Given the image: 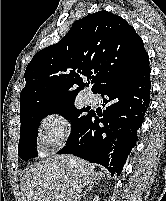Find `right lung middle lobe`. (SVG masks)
Wrapping results in <instances>:
<instances>
[{
    "mask_svg": "<svg viewBox=\"0 0 166 201\" xmlns=\"http://www.w3.org/2000/svg\"><path fill=\"white\" fill-rule=\"evenodd\" d=\"M86 109L79 110L74 106V101L55 107L38 109L20 115V140L18 155L21 159L28 160L37 156L35 148L37 142V129L41 120L48 114L58 113L70 120L72 124L69 139L77 132L81 125L88 119L91 111L83 115ZM68 139V140H69Z\"/></svg>",
    "mask_w": 166,
    "mask_h": 201,
    "instance_id": "right-lung-middle-lobe-1",
    "label": "right lung middle lobe"
}]
</instances>
